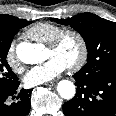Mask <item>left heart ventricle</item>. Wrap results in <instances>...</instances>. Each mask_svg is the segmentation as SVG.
Returning <instances> with one entry per match:
<instances>
[{
  "label": "left heart ventricle",
  "mask_w": 116,
  "mask_h": 116,
  "mask_svg": "<svg viewBox=\"0 0 116 116\" xmlns=\"http://www.w3.org/2000/svg\"><path fill=\"white\" fill-rule=\"evenodd\" d=\"M79 53L80 48L78 41L74 37L70 36L64 40L60 48L57 50L48 48L47 58L56 56L62 59L67 65H70L78 58Z\"/></svg>",
  "instance_id": "obj_1"
}]
</instances>
